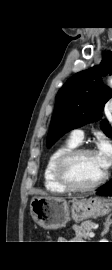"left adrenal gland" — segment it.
<instances>
[{
    "instance_id": "obj_1",
    "label": "left adrenal gland",
    "mask_w": 112,
    "mask_h": 270,
    "mask_svg": "<svg viewBox=\"0 0 112 270\" xmlns=\"http://www.w3.org/2000/svg\"><path fill=\"white\" fill-rule=\"evenodd\" d=\"M111 216H112V214L107 216V218L105 220V223H104V230H103L101 236H104V235H106L108 233L109 227H110V225H112Z\"/></svg>"
}]
</instances>
